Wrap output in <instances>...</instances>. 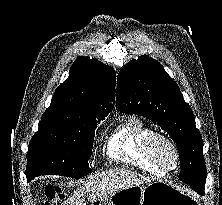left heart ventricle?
Listing matches in <instances>:
<instances>
[{
  "mask_svg": "<svg viewBox=\"0 0 222 205\" xmlns=\"http://www.w3.org/2000/svg\"><path fill=\"white\" fill-rule=\"evenodd\" d=\"M156 149H157V154L163 164L167 166L173 165L175 155L170 145L161 142L157 145Z\"/></svg>",
  "mask_w": 222,
  "mask_h": 205,
  "instance_id": "b2bd125f",
  "label": "left heart ventricle"
}]
</instances>
